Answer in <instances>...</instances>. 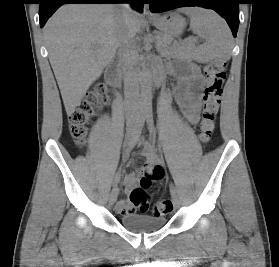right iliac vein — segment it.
Here are the masks:
<instances>
[{
    "mask_svg": "<svg viewBox=\"0 0 279 267\" xmlns=\"http://www.w3.org/2000/svg\"><path fill=\"white\" fill-rule=\"evenodd\" d=\"M135 128H136V126H129V128H128V137L129 138L134 133ZM117 196H118V189H117V187H114L109 195V204L110 205H113L116 202Z\"/></svg>",
    "mask_w": 279,
    "mask_h": 267,
    "instance_id": "obj_1",
    "label": "right iliac vein"
}]
</instances>
